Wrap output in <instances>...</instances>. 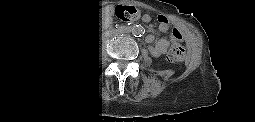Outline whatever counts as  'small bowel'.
I'll return each instance as SVG.
<instances>
[{"mask_svg":"<svg viewBox=\"0 0 255 122\" xmlns=\"http://www.w3.org/2000/svg\"><path fill=\"white\" fill-rule=\"evenodd\" d=\"M167 29V24L165 22H162L160 25V30L164 31ZM176 40H182L181 34L178 32V37H175L172 33L170 36H168L165 39L160 40L156 45H150L149 51L152 55L156 57H160L163 53H165L167 47L169 44H172ZM155 41V36L153 34H150L147 36V42L149 44L153 43Z\"/></svg>","mask_w":255,"mask_h":122,"instance_id":"obj_1","label":"small bowel"}]
</instances>
